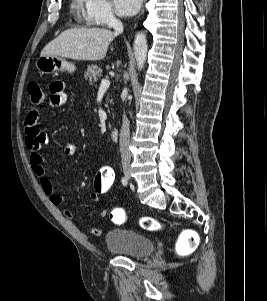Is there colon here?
I'll list each match as a JSON object with an SVG mask.
<instances>
[{
    "mask_svg": "<svg viewBox=\"0 0 267 301\" xmlns=\"http://www.w3.org/2000/svg\"><path fill=\"white\" fill-rule=\"evenodd\" d=\"M28 93L32 104L39 105L43 102L44 93L37 83L32 82L28 85ZM113 185L114 171L111 166L103 165L95 176L92 191L100 198L107 197L111 194ZM108 216L113 223L122 224L127 219V212L123 207L114 206L108 211ZM140 225L149 231L158 230L161 227V225L151 217L142 218ZM197 245V235L193 231H185L178 240L177 251L181 255H187L193 252Z\"/></svg>",
    "mask_w": 267,
    "mask_h": 301,
    "instance_id": "obj_1",
    "label": "colon"
}]
</instances>
